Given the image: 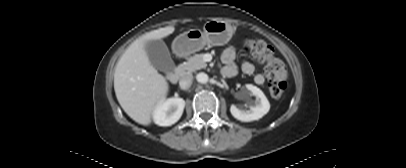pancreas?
<instances>
[{
    "label": "pancreas",
    "instance_id": "cf45deb5",
    "mask_svg": "<svg viewBox=\"0 0 406 168\" xmlns=\"http://www.w3.org/2000/svg\"><path fill=\"white\" fill-rule=\"evenodd\" d=\"M207 64L203 60V54H195L194 56L188 58V60L178 66L181 74L195 72L206 68Z\"/></svg>",
    "mask_w": 406,
    "mask_h": 168
}]
</instances>
